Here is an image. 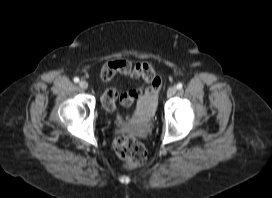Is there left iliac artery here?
Instances as JSON below:
<instances>
[{
    "mask_svg": "<svg viewBox=\"0 0 272 198\" xmlns=\"http://www.w3.org/2000/svg\"><path fill=\"white\" fill-rule=\"evenodd\" d=\"M182 87H183V84H182L181 82H179V83L177 84V89H182Z\"/></svg>",
    "mask_w": 272,
    "mask_h": 198,
    "instance_id": "left-iliac-artery-1",
    "label": "left iliac artery"
}]
</instances>
